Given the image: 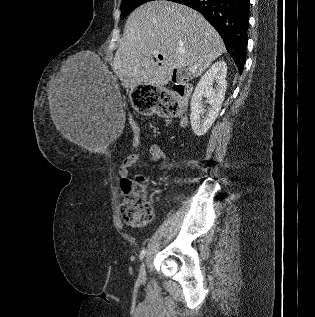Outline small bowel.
<instances>
[{
    "mask_svg": "<svg viewBox=\"0 0 315 317\" xmlns=\"http://www.w3.org/2000/svg\"><path fill=\"white\" fill-rule=\"evenodd\" d=\"M149 157L148 162L155 163V162H165V153L163 149L156 143H153L149 146ZM140 157L139 152H134L123 160L122 164L119 168V175L121 178V181L124 179L130 178L131 170L136 165Z\"/></svg>",
    "mask_w": 315,
    "mask_h": 317,
    "instance_id": "1",
    "label": "small bowel"
}]
</instances>
